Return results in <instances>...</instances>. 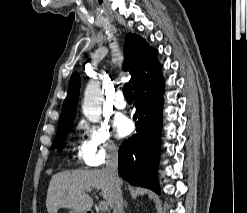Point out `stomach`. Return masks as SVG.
Masks as SVG:
<instances>
[{"mask_svg":"<svg viewBox=\"0 0 247 213\" xmlns=\"http://www.w3.org/2000/svg\"><path fill=\"white\" fill-rule=\"evenodd\" d=\"M68 213H86V212L81 210L71 209Z\"/></svg>","mask_w":247,"mask_h":213,"instance_id":"obj_1","label":"stomach"}]
</instances>
